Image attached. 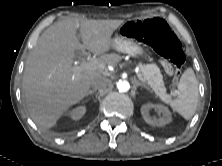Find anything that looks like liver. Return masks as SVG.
I'll use <instances>...</instances> for the list:
<instances>
[{
	"instance_id": "1",
	"label": "liver",
	"mask_w": 222,
	"mask_h": 166,
	"mask_svg": "<svg viewBox=\"0 0 222 166\" xmlns=\"http://www.w3.org/2000/svg\"><path fill=\"white\" fill-rule=\"evenodd\" d=\"M123 23L69 18L53 24L39 37L26 61L22 84L27 111L39 129L52 128L63 112L86 96L92 82L102 77L106 64L121 60L119 55L106 52L113 32ZM77 30L83 44L76 37ZM85 49L100 55L102 69L74 71L75 53Z\"/></svg>"
}]
</instances>
